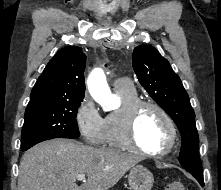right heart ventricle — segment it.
<instances>
[{
  "instance_id": "right-heart-ventricle-1",
  "label": "right heart ventricle",
  "mask_w": 221,
  "mask_h": 190,
  "mask_svg": "<svg viewBox=\"0 0 221 190\" xmlns=\"http://www.w3.org/2000/svg\"><path fill=\"white\" fill-rule=\"evenodd\" d=\"M115 92L122 101L120 109L108 114L105 117V142L107 147L115 149H127L121 137L120 112L124 105L139 100L138 93L134 87L128 89H115Z\"/></svg>"
}]
</instances>
